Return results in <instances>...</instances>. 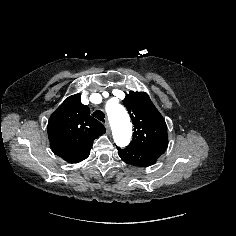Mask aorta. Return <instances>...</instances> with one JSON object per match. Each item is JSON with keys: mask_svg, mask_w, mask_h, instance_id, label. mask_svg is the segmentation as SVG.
<instances>
[{"mask_svg": "<svg viewBox=\"0 0 236 236\" xmlns=\"http://www.w3.org/2000/svg\"><path fill=\"white\" fill-rule=\"evenodd\" d=\"M106 112L112 127V134L116 145L127 146L132 136V124L125 108L119 103L108 102Z\"/></svg>", "mask_w": 236, "mask_h": 236, "instance_id": "762f6f07", "label": "aorta"}]
</instances>
